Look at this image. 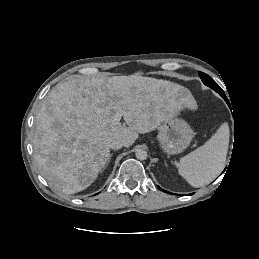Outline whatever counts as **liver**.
I'll list each match as a JSON object with an SVG mask.
<instances>
[{
    "label": "liver",
    "instance_id": "6515ba94",
    "mask_svg": "<svg viewBox=\"0 0 259 259\" xmlns=\"http://www.w3.org/2000/svg\"><path fill=\"white\" fill-rule=\"evenodd\" d=\"M182 86L139 75L76 76L48 93L35 117L33 148L43 177L57 190L75 194L104 169L114 139L130 147L196 101ZM123 112L125 124H112Z\"/></svg>",
    "mask_w": 259,
    "mask_h": 259
}]
</instances>
